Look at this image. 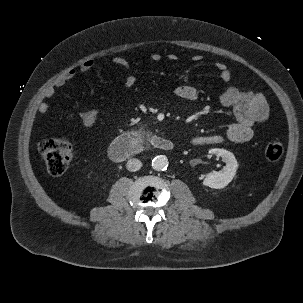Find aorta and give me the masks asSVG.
<instances>
[{"instance_id": "762f6f07", "label": "aorta", "mask_w": 303, "mask_h": 303, "mask_svg": "<svg viewBox=\"0 0 303 303\" xmlns=\"http://www.w3.org/2000/svg\"><path fill=\"white\" fill-rule=\"evenodd\" d=\"M152 167L156 171H164L168 167V159L164 155L156 156L152 160Z\"/></svg>"}]
</instances>
